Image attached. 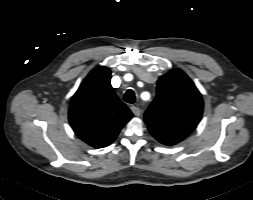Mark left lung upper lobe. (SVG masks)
Masks as SVG:
<instances>
[{
    "label": "left lung upper lobe",
    "mask_w": 253,
    "mask_h": 200,
    "mask_svg": "<svg viewBox=\"0 0 253 200\" xmlns=\"http://www.w3.org/2000/svg\"><path fill=\"white\" fill-rule=\"evenodd\" d=\"M203 112L201 94L180 69H172L157 82V96L144 119L149 129L186 137Z\"/></svg>",
    "instance_id": "1"
}]
</instances>
